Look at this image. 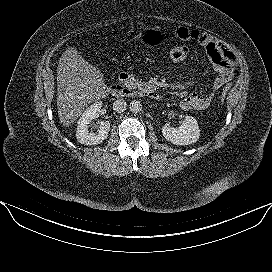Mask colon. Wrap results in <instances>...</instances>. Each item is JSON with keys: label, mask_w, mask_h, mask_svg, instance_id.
I'll return each mask as SVG.
<instances>
[{"label": "colon", "mask_w": 272, "mask_h": 272, "mask_svg": "<svg viewBox=\"0 0 272 272\" xmlns=\"http://www.w3.org/2000/svg\"><path fill=\"white\" fill-rule=\"evenodd\" d=\"M168 58L173 62H184L189 58V50L187 47L182 45L171 46L167 51ZM232 85H227L221 92L219 97L220 103H222L231 90Z\"/></svg>", "instance_id": "1"}]
</instances>
